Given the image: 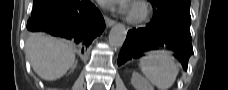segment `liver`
<instances>
[{
    "label": "liver",
    "instance_id": "obj_1",
    "mask_svg": "<svg viewBox=\"0 0 228 90\" xmlns=\"http://www.w3.org/2000/svg\"><path fill=\"white\" fill-rule=\"evenodd\" d=\"M25 50L33 70L44 80L59 79L75 65L71 46L61 39L41 33L31 34Z\"/></svg>",
    "mask_w": 228,
    "mask_h": 90
}]
</instances>
